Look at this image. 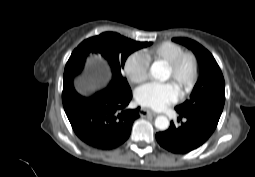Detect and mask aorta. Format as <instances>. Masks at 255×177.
Returning <instances> with one entry per match:
<instances>
[{"label": "aorta", "instance_id": "obj_1", "mask_svg": "<svg viewBox=\"0 0 255 177\" xmlns=\"http://www.w3.org/2000/svg\"><path fill=\"white\" fill-rule=\"evenodd\" d=\"M150 75L154 79L163 80V81L166 80L168 77L165 69L156 63H154L151 66ZM169 125H170V123L166 116H158L155 119V127L159 130H166V129H168Z\"/></svg>", "mask_w": 255, "mask_h": 177}]
</instances>
